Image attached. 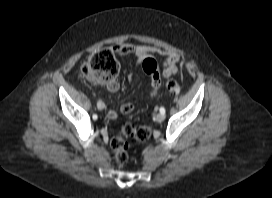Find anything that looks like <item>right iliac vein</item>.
<instances>
[{
	"label": "right iliac vein",
	"mask_w": 272,
	"mask_h": 198,
	"mask_svg": "<svg viewBox=\"0 0 272 198\" xmlns=\"http://www.w3.org/2000/svg\"><path fill=\"white\" fill-rule=\"evenodd\" d=\"M98 108H99V109H103L104 107H100V106H98Z\"/></svg>",
	"instance_id": "1"
}]
</instances>
